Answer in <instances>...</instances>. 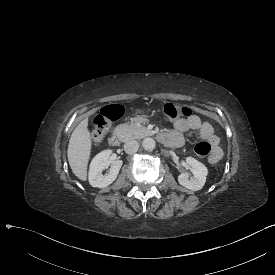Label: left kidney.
I'll return each mask as SVG.
<instances>
[{"label":"left kidney","instance_id":"1","mask_svg":"<svg viewBox=\"0 0 275 275\" xmlns=\"http://www.w3.org/2000/svg\"><path fill=\"white\" fill-rule=\"evenodd\" d=\"M185 161L192 167L193 177L188 179L186 174H181L178 177L179 184L192 191L202 189L209 173L208 168L193 157H186Z\"/></svg>","mask_w":275,"mask_h":275}]
</instances>
